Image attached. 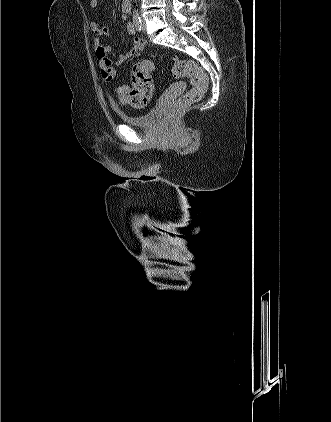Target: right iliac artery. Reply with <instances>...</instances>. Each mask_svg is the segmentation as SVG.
<instances>
[{
    "mask_svg": "<svg viewBox=\"0 0 331 422\" xmlns=\"http://www.w3.org/2000/svg\"><path fill=\"white\" fill-rule=\"evenodd\" d=\"M133 23L136 27V30L140 32L142 30V21H141L139 12H137V11L134 12V14H133Z\"/></svg>",
    "mask_w": 331,
    "mask_h": 422,
    "instance_id": "82829eb1",
    "label": "right iliac artery"
}]
</instances>
